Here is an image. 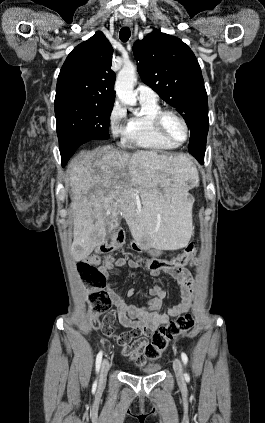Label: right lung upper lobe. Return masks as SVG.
<instances>
[{
    "instance_id": "right-lung-upper-lobe-1",
    "label": "right lung upper lobe",
    "mask_w": 265,
    "mask_h": 423,
    "mask_svg": "<svg viewBox=\"0 0 265 423\" xmlns=\"http://www.w3.org/2000/svg\"><path fill=\"white\" fill-rule=\"evenodd\" d=\"M113 49L102 32L75 47L66 58L56 86L55 101L81 99L113 105Z\"/></svg>"
}]
</instances>
